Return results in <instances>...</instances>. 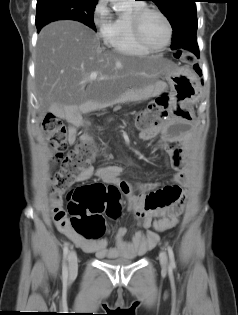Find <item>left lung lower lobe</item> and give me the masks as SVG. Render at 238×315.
<instances>
[{
	"label": "left lung lower lobe",
	"instance_id": "0a47b994",
	"mask_svg": "<svg viewBox=\"0 0 238 315\" xmlns=\"http://www.w3.org/2000/svg\"><path fill=\"white\" fill-rule=\"evenodd\" d=\"M173 50L186 49L193 52L197 57H199V48L197 45V40H188V41H174L171 45Z\"/></svg>",
	"mask_w": 238,
	"mask_h": 315
}]
</instances>
